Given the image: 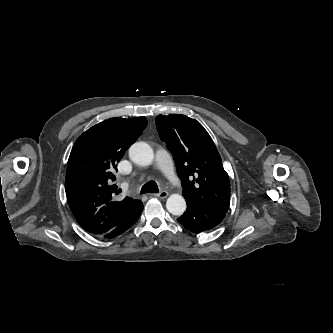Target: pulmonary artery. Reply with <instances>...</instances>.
Segmentation results:
<instances>
[{
  "label": "pulmonary artery",
  "mask_w": 333,
  "mask_h": 333,
  "mask_svg": "<svg viewBox=\"0 0 333 333\" xmlns=\"http://www.w3.org/2000/svg\"><path fill=\"white\" fill-rule=\"evenodd\" d=\"M156 164L163 174L172 182L176 181L170 156L165 150H158L156 153Z\"/></svg>",
  "instance_id": "e3ab8cb5"
}]
</instances>
